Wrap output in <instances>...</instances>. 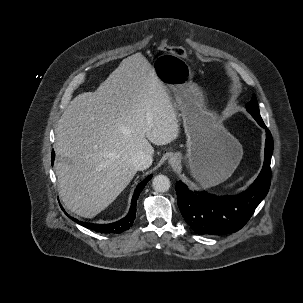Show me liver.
<instances>
[{
  "instance_id": "6515ba94",
  "label": "liver",
  "mask_w": 303,
  "mask_h": 303,
  "mask_svg": "<svg viewBox=\"0 0 303 303\" xmlns=\"http://www.w3.org/2000/svg\"><path fill=\"white\" fill-rule=\"evenodd\" d=\"M179 135L169 94L151 64L133 54L95 92L76 96L56 128L60 197L70 211L93 218L125 189L137 170L132 157L154 154Z\"/></svg>"
}]
</instances>
